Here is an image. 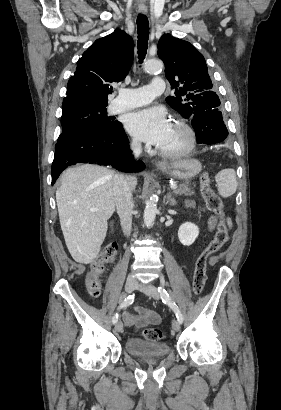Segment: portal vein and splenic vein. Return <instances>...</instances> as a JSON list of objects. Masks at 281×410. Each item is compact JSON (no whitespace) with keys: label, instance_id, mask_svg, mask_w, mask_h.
I'll use <instances>...</instances> for the list:
<instances>
[{"label":"portal vein and splenic vein","instance_id":"18ae733b","mask_svg":"<svg viewBox=\"0 0 281 410\" xmlns=\"http://www.w3.org/2000/svg\"><path fill=\"white\" fill-rule=\"evenodd\" d=\"M170 188H171L172 190L177 189V184H175V183L171 184V185H170ZM90 210L93 211V212H95V211H98L99 209H98V208H91Z\"/></svg>","mask_w":281,"mask_h":410}]
</instances>
